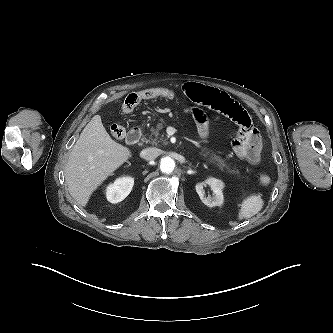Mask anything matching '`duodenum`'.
Here are the masks:
<instances>
[{"mask_svg": "<svg viewBox=\"0 0 333 333\" xmlns=\"http://www.w3.org/2000/svg\"><path fill=\"white\" fill-rule=\"evenodd\" d=\"M141 136L142 130L139 127H134L128 132L126 142L130 145H134L140 141Z\"/></svg>", "mask_w": 333, "mask_h": 333, "instance_id": "obj_1", "label": "duodenum"}]
</instances>
